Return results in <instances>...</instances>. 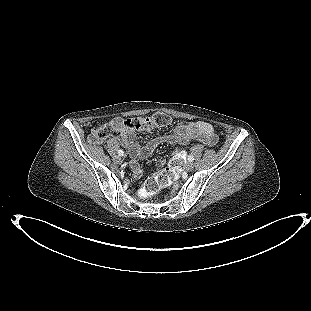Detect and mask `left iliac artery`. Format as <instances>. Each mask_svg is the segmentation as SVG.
I'll use <instances>...</instances> for the list:
<instances>
[{
  "label": "left iliac artery",
  "mask_w": 311,
  "mask_h": 311,
  "mask_svg": "<svg viewBox=\"0 0 311 311\" xmlns=\"http://www.w3.org/2000/svg\"><path fill=\"white\" fill-rule=\"evenodd\" d=\"M193 160H194L193 156H192V155H189V156H188V161H189V162H193Z\"/></svg>",
  "instance_id": "44dca946"
}]
</instances>
